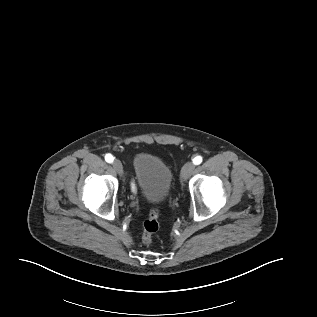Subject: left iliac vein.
<instances>
[{"label":"left iliac vein","instance_id":"4c4485c4","mask_svg":"<svg viewBox=\"0 0 317 317\" xmlns=\"http://www.w3.org/2000/svg\"><path fill=\"white\" fill-rule=\"evenodd\" d=\"M195 166L192 162H187L184 164L181 170L182 180H187L193 173Z\"/></svg>","mask_w":317,"mask_h":317}]
</instances>
